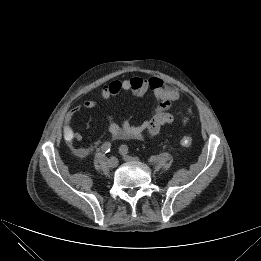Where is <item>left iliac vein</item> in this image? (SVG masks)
I'll return each mask as SVG.
<instances>
[{
	"label": "left iliac vein",
	"instance_id": "obj_1",
	"mask_svg": "<svg viewBox=\"0 0 261 261\" xmlns=\"http://www.w3.org/2000/svg\"><path fill=\"white\" fill-rule=\"evenodd\" d=\"M121 154L125 161H137L138 160L137 158L131 157V156L127 155L126 153H121Z\"/></svg>",
	"mask_w": 261,
	"mask_h": 261
}]
</instances>
